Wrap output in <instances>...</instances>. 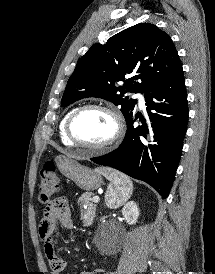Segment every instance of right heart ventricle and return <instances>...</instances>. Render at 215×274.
Segmentation results:
<instances>
[{
  "label": "right heart ventricle",
  "instance_id": "1",
  "mask_svg": "<svg viewBox=\"0 0 215 274\" xmlns=\"http://www.w3.org/2000/svg\"><path fill=\"white\" fill-rule=\"evenodd\" d=\"M73 110L69 111L61 120L60 125H59V135L61 138V141L64 145L66 146H74V144L69 140V138L66 135V122Z\"/></svg>",
  "mask_w": 215,
  "mask_h": 274
}]
</instances>
